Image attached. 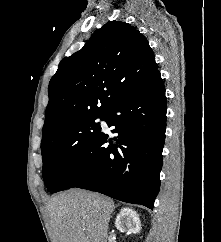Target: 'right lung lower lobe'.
I'll return each mask as SVG.
<instances>
[{"label": "right lung lower lobe", "instance_id": "98d812e1", "mask_svg": "<svg viewBox=\"0 0 221 242\" xmlns=\"http://www.w3.org/2000/svg\"><path fill=\"white\" fill-rule=\"evenodd\" d=\"M166 111L165 86L156 71L108 108L102 116L114 127L113 135L101 131L51 193L77 187L153 209L160 188Z\"/></svg>", "mask_w": 221, "mask_h": 242}]
</instances>
